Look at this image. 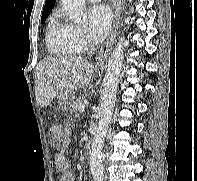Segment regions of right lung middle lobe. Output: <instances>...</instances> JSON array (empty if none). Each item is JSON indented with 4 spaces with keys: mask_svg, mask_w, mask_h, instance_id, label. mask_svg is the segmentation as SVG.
Instances as JSON below:
<instances>
[{
    "mask_svg": "<svg viewBox=\"0 0 197 181\" xmlns=\"http://www.w3.org/2000/svg\"><path fill=\"white\" fill-rule=\"evenodd\" d=\"M48 16H49V14L43 15V16L41 17V23H45L46 18H47Z\"/></svg>",
    "mask_w": 197,
    "mask_h": 181,
    "instance_id": "obj_1",
    "label": "right lung middle lobe"
}]
</instances>
